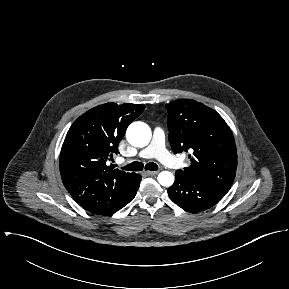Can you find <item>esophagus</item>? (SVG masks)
I'll use <instances>...</instances> for the list:
<instances>
[{"mask_svg":"<svg viewBox=\"0 0 289 289\" xmlns=\"http://www.w3.org/2000/svg\"><path fill=\"white\" fill-rule=\"evenodd\" d=\"M157 173L158 171H144V174L147 176H155Z\"/></svg>","mask_w":289,"mask_h":289,"instance_id":"34e87169","label":"esophagus"}]
</instances>
